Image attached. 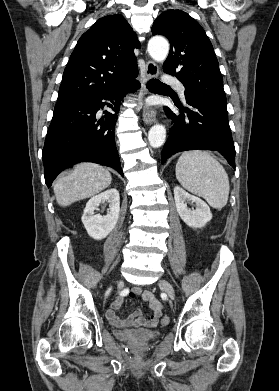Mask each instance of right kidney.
Returning a JSON list of instances; mask_svg holds the SVG:
<instances>
[{"label": "right kidney", "mask_w": 279, "mask_h": 391, "mask_svg": "<svg viewBox=\"0 0 279 391\" xmlns=\"http://www.w3.org/2000/svg\"><path fill=\"white\" fill-rule=\"evenodd\" d=\"M109 203L107 214L102 216L95 214L100 204ZM120 212V196L116 188L108 189L98 195L93 196L86 204L82 215V223L88 235L96 240L106 238L115 228Z\"/></svg>", "instance_id": "ca27d5eb"}]
</instances>
